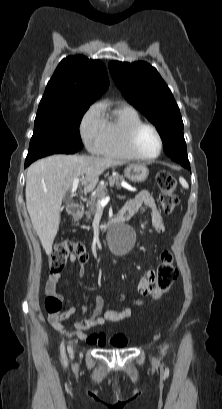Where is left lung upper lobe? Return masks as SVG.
<instances>
[{
  "instance_id": "1",
  "label": "left lung upper lobe",
  "mask_w": 222,
  "mask_h": 409,
  "mask_svg": "<svg viewBox=\"0 0 222 409\" xmlns=\"http://www.w3.org/2000/svg\"><path fill=\"white\" fill-rule=\"evenodd\" d=\"M109 70L123 96L152 122L173 161L189 162L178 105L157 70L150 64L111 61Z\"/></svg>"
}]
</instances>
